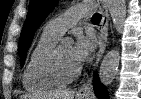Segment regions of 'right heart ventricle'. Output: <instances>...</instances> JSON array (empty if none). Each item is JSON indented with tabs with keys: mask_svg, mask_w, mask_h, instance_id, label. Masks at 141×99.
I'll return each mask as SVG.
<instances>
[{
	"mask_svg": "<svg viewBox=\"0 0 141 99\" xmlns=\"http://www.w3.org/2000/svg\"><path fill=\"white\" fill-rule=\"evenodd\" d=\"M58 39L45 31L39 37L23 72L22 82L27 91L44 92L60 85L50 79L43 70L44 59Z\"/></svg>",
	"mask_w": 141,
	"mask_h": 99,
	"instance_id": "right-heart-ventricle-1",
	"label": "right heart ventricle"
}]
</instances>
